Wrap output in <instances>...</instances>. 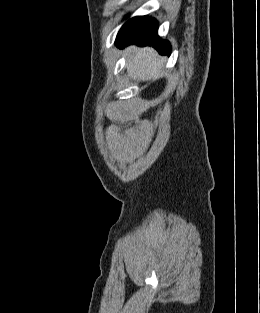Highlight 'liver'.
Masks as SVG:
<instances>
[{
	"label": "liver",
	"instance_id": "6515ba94",
	"mask_svg": "<svg viewBox=\"0 0 260 313\" xmlns=\"http://www.w3.org/2000/svg\"><path fill=\"white\" fill-rule=\"evenodd\" d=\"M126 54L128 56L126 68L131 78L148 81L162 75L165 57H160L154 49L131 46L126 49Z\"/></svg>",
	"mask_w": 260,
	"mask_h": 313
}]
</instances>
